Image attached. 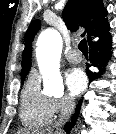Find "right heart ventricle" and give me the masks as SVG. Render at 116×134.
Instances as JSON below:
<instances>
[{
	"label": "right heart ventricle",
	"mask_w": 116,
	"mask_h": 134,
	"mask_svg": "<svg viewBox=\"0 0 116 134\" xmlns=\"http://www.w3.org/2000/svg\"><path fill=\"white\" fill-rule=\"evenodd\" d=\"M51 98L40 89L38 74L33 71L28 77L21 96L20 118L28 127H43L48 125L54 113Z\"/></svg>",
	"instance_id": "e07e8e85"
}]
</instances>
